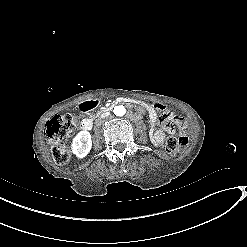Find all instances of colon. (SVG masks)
Instances as JSON below:
<instances>
[{
  "label": "colon",
  "instance_id": "colon-1",
  "mask_svg": "<svg viewBox=\"0 0 247 247\" xmlns=\"http://www.w3.org/2000/svg\"><path fill=\"white\" fill-rule=\"evenodd\" d=\"M154 107L157 112L163 113L167 106L163 102H156ZM77 116L74 114L54 115L45 125V135L51 145L54 161L58 165H65L69 160V151L66 147V140L75 130ZM188 137L184 134L169 136L166 139V148L170 153L186 147Z\"/></svg>",
  "mask_w": 247,
  "mask_h": 247
}]
</instances>
